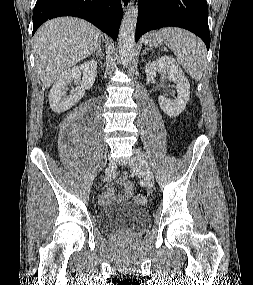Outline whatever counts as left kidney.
Returning <instances> with one entry per match:
<instances>
[{"label":"left kidney","instance_id":"1","mask_svg":"<svg viewBox=\"0 0 253 285\" xmlns=\"http://www.w3.org/2000/svg\"><path fill=\"white\" fill-rule=\"evenodd\" d=\"M147 76H156V73L168 75V78L176 83L177 97L168 99L159 96L160 108L169 117H176L185 109L190 98V84L176 61L168 56H163L156 61L149 62L145 67Z\"/></svg>","mask_w":253,"mask_h":285}]
</instances>
